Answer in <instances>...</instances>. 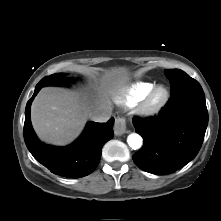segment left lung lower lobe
Returning <instances> with one entry per match:
<instances>
[{"mask_svg": "<svg viewBox=\"0 0 221 221\" xmlns=\"http://www.w3.org/2000/svg\"><path fill=\"white\" fill-rule=\"evenodd\" d=\"M208 124V111L200 84L171 94L157 116L135 117L133 125L144 139L133 155L142 170L158 175L170 174L185 166L199 152Z\"/></svg>", "mask_w": 221, "mask_h": 221, "instance_id": "1", "label": "left lung lower lobe"}]
</instances>
